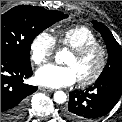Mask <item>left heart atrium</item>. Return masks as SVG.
<instances>
[{"mask_svg":"<svg viewBox=\"0 0 122 122\" xmlns=\"http://www.w3.org/2000/svg\"><path fill=\"white\" fill-rule=\"evenodd\" d=\"M37 82L45 87L59 88L70 86L77 80L76 74L71 66H60L47 64L36 71Z\"/></svg>","mask_w":122,"mask_h":122,"instance_id":"left-heart-atrium-1","label":"left heart atrium"}]
</instances>
